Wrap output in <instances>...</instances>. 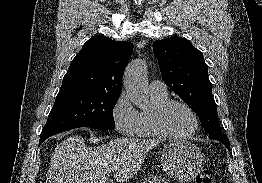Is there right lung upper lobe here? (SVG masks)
<instances>
[{
    "label": "right lung upper lobe",
    "mask_w": 262,
    "mask_h": 183,
    "mask_svg": "<svg viewBox=\"0 0 262 183\" xmlns=\"http://www.w3.org/2000/svg\"><path fill=\"white\" fill-rule=\"evenodd\" d=\"M132 51L130 42L93 36L71 62L59 93L91 90L120 94L123 73Z\"/></svg>",
    "instance_id": "cb5924a9"
}]
</instances>
